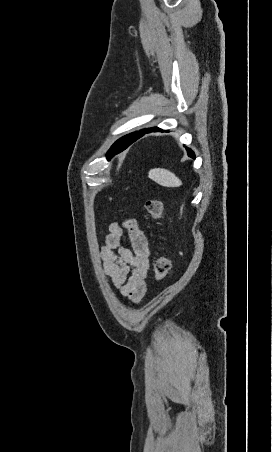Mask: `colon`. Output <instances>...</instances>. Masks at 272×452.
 <instances>
[{"label": "colon", "mask_w": 272, "mask_h": 452, "mask_svg": "<svg viewBox=\"0 0 272 452\" xmlns=\"http://www.w3.org/2000/svg\"><path fill=\"white\" fill-rule=\"evenodd\" d=\"M149 217L153 220H159L163 216V205L158 199H149L145 204ZM171 267L170 258L166 253L157 257L154 263V276L157 282H162L168 275Z\"/></svg>", "instance_id": "1"}]
</instances>
